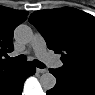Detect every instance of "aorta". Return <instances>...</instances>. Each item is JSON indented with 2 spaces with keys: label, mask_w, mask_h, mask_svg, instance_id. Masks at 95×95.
<instances>
[{
  "label": "aorta",
  "mask_w": 95,
  "mask_h": 95,
  "mask_svg": "<svg viewBox=\"0 0 95 95\" xmlns=\"http://www.w3.org/2000/svg\"><path fill=\"white\" fill-rule=\"evenodd\" d=\"M14 36L18 41L28 43L33 37V32L29 26L21 24L15 29ZM40 84L44 90H50L55 86L56 78L50 72H46L41 75Z\"/></svg>",
  "instance_id": "1"
}]
</instances>
